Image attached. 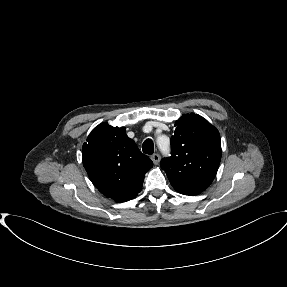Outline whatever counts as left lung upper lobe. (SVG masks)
<instances>
[{
	"instance_id": "1",
	"label": "left lung upper lobe",
	"mask_w": 287,
	"mask_h": 287,
	"mask_svg": "<svg viewBox=\"0 0 287 287\" xmlns=\"http://www.w3.org/2000/svg\"><path fill=\"white\" fill-rule=\"evenodd\" d=\"M171 157L161 160L171 185L184 195H196L212 183L221 160L218 130L200 115H183L175 122Z\"/></svg>"
}]
</instances>
